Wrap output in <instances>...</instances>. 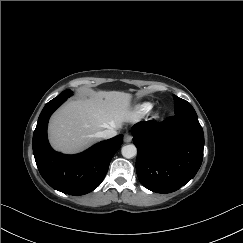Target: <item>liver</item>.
Here are the masks:
<instances>
[{
  "instance_id": "1",
  "label": "liver",
  "mask_w": 243,
  "mask_h": 243,
  "mask_svg": "<svg viewBox=\"0 0 243 243\" xmlns=\"http://www.w3.org/2000/svg\"><path fill=\"white\" fill-rule=\"evenodd\" d=\"M131 95L121 91H91L68 101L51 117L49 140L54 149L76 153L90 146L98 132L120 128L131 116Z\"/></svg>"
}]
</instances>
